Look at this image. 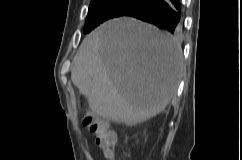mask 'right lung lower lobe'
Wrapping results in <instances>:
<instances>
[{"instance_id":"1","label":"right lung lower lobe","mask_w":242,"mask_h":160,"mask_svg":"<svg viewBox=\"0 0 242 160\" xmlns=\"http://www.w3.org/2000/svg\"><path fill=\"white\" fill-rule=\"evenodd\" d=\"M125 16H131L164 29L171 34L181 33L180 0H144Z\"/></svg>"}]
</instances>
